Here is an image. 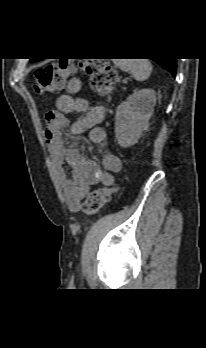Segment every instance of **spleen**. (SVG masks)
<instances>
[{
    "instance_id": "3e777b00",
    "label": "spleen",
    "mask_w": 206,
    "mask_h": 348,
    "mask_svg": "<svg viewBox=\"0 0 206 348\" xmlns=\"http://www.w3.org/2000/svg\"><path fill=\"white\" fill-rule=\"evenodd\" d=\"M113 62L122 71L130 72L138 81L146 80L153 70L148 59H114Z\"/></svg>"
}]
</instances>
